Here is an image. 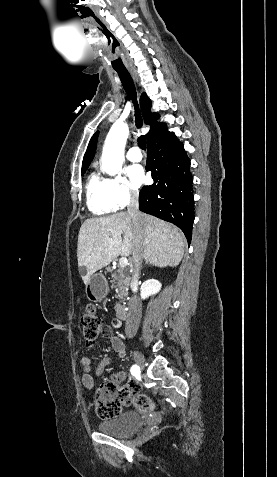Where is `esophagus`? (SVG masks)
Segmentation results:
<instances>
[{"label": "esophagus", "instance_id": "obj_1", "mask_svg": "<svg viewBox=\"0 0 277 477\" xmlns=\"http://www.w3.org/2000/svg\"><path fill=\"white\" fill-rule=\"evenodd\" d=\"M131 73H132V76L134 77V79H135L136 81H138L137 74H136L134 71H132Z\"/></svg>", "mask_w": 277, "mask_h": 477}]
</instances>
